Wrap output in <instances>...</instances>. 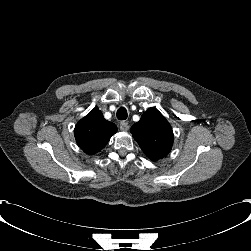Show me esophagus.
<instances>
[{"label":"esophagus","mask_w":251,"mask_h":251,"mask_svg":"<svg viewBox=\"0 0 251 251\" xmlns=\"http://www.w3.org/2000/svg\"><path fill=\"white\" fill-rule=\"evenodd\" d=\"M120 129L122 131H127L129 129V123L125 121L120 122Z\"/></svg>","instance_id":"esophagus-1"}]
</instances>
